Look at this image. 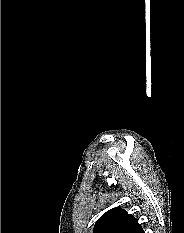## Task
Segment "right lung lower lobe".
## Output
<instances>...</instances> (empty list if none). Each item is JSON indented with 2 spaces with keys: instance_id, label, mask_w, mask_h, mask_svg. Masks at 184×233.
Masks as SVG:
<instances>
[{
  "instance_id": "1",
  "label": "right lung lower lobe",
  "mask_w": 184,
  "mask_h": 233,
  "mask_svg": "<svg viewBox=\"0 0 184 233\" xmlns=\"http://www.w3.org/2000/svg\"><path fill=\"white\" fill-rule=\"evenodd\" d=\"M137 233H144L143 229L141 228Z\"/></svg>"
}]
</instances>
